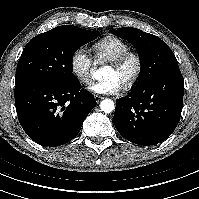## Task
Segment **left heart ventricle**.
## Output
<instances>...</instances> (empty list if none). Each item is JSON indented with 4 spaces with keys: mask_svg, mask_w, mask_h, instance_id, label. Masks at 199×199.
<instances>
[{
    "mask_svg": "<svg viewBox=\"0 0 199 199\" xmlns=\"http://www.w3.org/2000/svg\"><path fill=\"white\" fill-rule=\"evenodd\" d=\"M135 65L133 61H128L122 68H114L113 66L109 65L105 71V77H116L122 83L125 82L127 78H129L132 73L134 72Z\"/></svg>",
    "mask_w": 199,
    "mask_h": 199,
    "instance_id": "obj_1",
    "label": "left heart ventricle"
}]
</instances>
